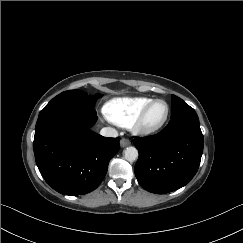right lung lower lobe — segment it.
Listing matches in <instances>:
<instances>
[{"mask_svg": "<svg viewBox=\"0 0 243 243\" xmlns=\"http://www.w3.org/2000/svg\"><path fill=\"white\" fill-rule=\"evenodd\" d=\"M94 109L53 106L40 112L34 136L38 169L54 190L82 195L95 190L119 150L120 138H106L90 128Z\"/></svg>", "mask_w": 243, "mask_h": 243, "instance_id": "obj_1", "label": "right lung lower lobe"}]
</instances>
